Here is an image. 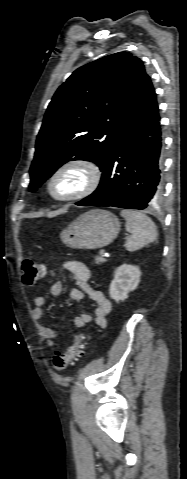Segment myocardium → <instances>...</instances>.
<instances>
[{
    "label": "myocardium",
    "mask_w": 187,
    "mask_h": 479,
    "mask_svg": "<svg viewBox=\"0 0 187 479\" xmlns=\"http://www.w3.org/2000/svg\"><path fill=\"white\" fill-rule=\"evenodd\" d=\"M79 171L83 174L81 185L72 193L59 196L53 187L57 180L65 173ZM102 173L100 167L91 159L76 157L62 163L49 177L46 183V191L51 199L57 202H72L91 195L100 185Z\"/></svg>",
    "instance_id": "1"
}]
</instances>
